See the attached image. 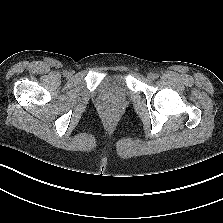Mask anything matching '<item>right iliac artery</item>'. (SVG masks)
<instances>
[{"mask_svg": "<svg viewBox=\"0 0 223 223\" xmlns=\"http://www.w3.org/2000/svg\"><path fill=\"white\" fill-rule=\"evenodd\" d=\"M67 74H68V72H67V71H65V72H64V75H67Z\"/></svg>", "mask_w": 223, "mask_h": 223, "instance_id": "82829eb1", "label": "right iliac artery"}]
</instances>
